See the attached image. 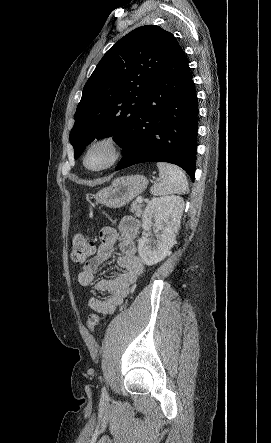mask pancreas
<instances>
[{"label": "pancreas", "instance_id": "cf45deb5", "mask_svg": "<svg viewBox=\"0 0 271 443\" xmlns=\"http://www.w3.org/2000/svg\"><path fill=\"white\" fill-rule=\"evenodd\" d=\"M131 206V212H133V214H136L137 218H141V214L143 212L141 204H138V202H133Z\"/></svg>", "mask_w": 271, "mask_h": 443}]
</instances>
